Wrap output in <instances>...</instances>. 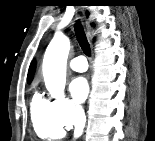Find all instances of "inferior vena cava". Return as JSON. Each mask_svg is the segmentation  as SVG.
I'll list each match as a JSON object with an SVG mask.
<instances>
[{"label": "inferior vena cava", "mask_w": 155, "mask_h": 141, "mask_svg": "<svg viewBox=\"0 0 155 141\" xmlns=\"http://www.w3.org/2000/svg\"><path fill=\"white\" fill-rule=\"evenodd\" d=\"M85 121H86L85 114L83 111H81L80 115H79V120H78L76 127H75V132H74L75 137H78L82 134V131H83V128L85 125Z\"/></svg>", "instance_id": "1"}]
</instances>
